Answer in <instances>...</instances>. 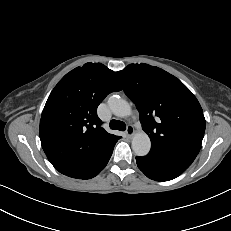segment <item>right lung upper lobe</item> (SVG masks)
Returning <instances> with one entry per match:
<instances>
[{
  "label": "right lung upper lobe",
  "mask_w": 231,
  "mask_h": 231,
  "mask_svg": "<svg viewBox=\"0 0 231 231\" xmlns=\"http://www.w3.org/2000/svg\"><path fill=\"white\" fill-rule=\"evenodd\" d=\"M122 88L116 72L101 63H86L67 73L52 90L40 120L42 148L62 174L98 157L116 139L101 127L97 107Z\"/></svg>",
  "instance_id": "cb5924a9"
}]
</instances>
